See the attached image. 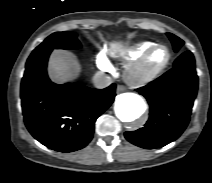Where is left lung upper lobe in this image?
I'll list each match as a JSON object with an SVG mask.
<instances>
[{
  "mask_svg": "<svg viewBox=\"0 0 212 183\" xmlns=\"http://www.w3.org/2000/svg\"><path fill=\"white\" fill-rule=\"evenodd\" d=\"M167 35L173 44L175 52H177L180 49V47L184 44V42L180 38L171 33H167Z\"/></svg>",
  "mask_w": 212,
  "mask_h": 183,
  "instance_id": "left-lung-upper-lobe-1",
  "label": "left lung upper lobe"
}]
</instances>
